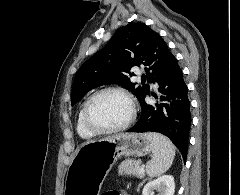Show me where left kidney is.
Listing matches in <instances>:
<instances>
[{
	"instance_id": "obj_1",
	"label": "left kidney",
	"mask_w": 240,
	"mask_h": 195,
	"mask_svg": "<svg viewBox=\"0 0 240 195\" xmlns=\"http://www.w3.org/2000/svg\"><path fill=\"white\" fill-rule=\"evenodd\" d=\"M160 191V195H174L175 181L173 175H161L153 181H148L143 187V195H155V191Z\"/></svg>"
}]
</instances>
